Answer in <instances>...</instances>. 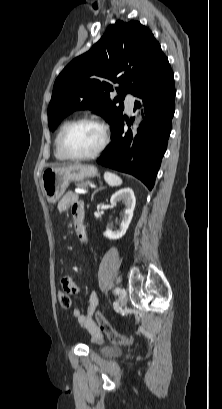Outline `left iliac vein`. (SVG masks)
<instances>
[{"label": "left iliac vein", "mask_w": 222, "mask_h": 409, "mask_svg": "<svg viewBox=\"0 0 222 409\" xmlns=\"http://www.w3.org/2000/svg\"><path fill=\"white\" fill-rule=\"evenodd\" d=\"M127 303V292L125 289H121L120 293V306L123 307Z\"/></svg>", "instance_id": "obj_1"}]
</instances>
